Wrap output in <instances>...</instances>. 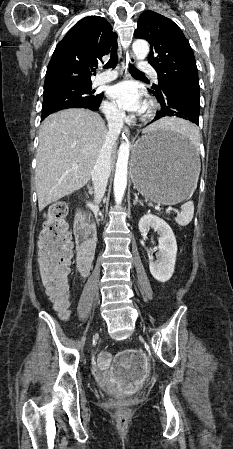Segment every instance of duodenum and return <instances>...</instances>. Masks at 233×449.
<instances>
[{
    "label": "duodenum",
    "mask_w": 233,
    "mask_h": 449,
    "mask_svg": "<svg viewBox=\"0 0 233 449\" xmlns=\"http://www.w3.org/2000/svg\"><path fill=\"white\" fill-rule=\"evenodd\" d=\"M76 236L78 245V268L83 276H87L95 255L96 237L82 215H78L77 218Z\"/></svg>",
    "instance_id": "1"
}]
</instances>
